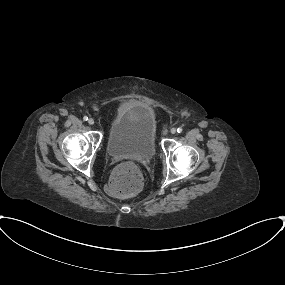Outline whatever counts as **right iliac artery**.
<instances>
[{
    "mask_svg": "<svg viewBox=\"0 0 285 285\" xmlns=\"http://www.w3.org/2000/svg\"><path fill=\"white\" fill-rule=\"evenodd\" d=\"M83 120H84V121H87V120H88V117H87V116H84V117H83Z\"/></svg>",
    "mask_w": 285,
    "mask_h": 285,
    "instance_id": "82829eb1",
    "label": "right iliac artery"
}]
</instances>
